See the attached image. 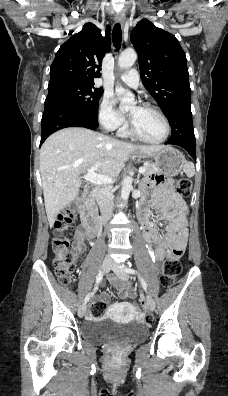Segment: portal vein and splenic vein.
<instances>
[{"label":"portal vein and splenic vein","mask_w":228,"mask_h":396,"mask_svg":"<svg viewBox=\"0 0 228 396\" xmlns=\"http://www.w3.org/2000/svg\"><path fill=\"white\" fill-rule=\"evenodd\" d=\"M98 165L99 163L95 164L92 168H90L87 174L83 176V179L96 185L113 183V179L111 177L105 175H99L95 173V169L98 167ZM145 171L146 169L144 166L139 168L140 174H143Z\"/></svg>","instance_id":"1"}]
</instances>
